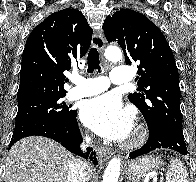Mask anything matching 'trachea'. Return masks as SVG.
<instances>
[{"instance_id": "1", "label": "trachea", "mask_w": 196, "mask_h": 182, "mask_svg": "<svg viewBox=\"0 0 196 182\" xmlns=\"http://www.w3.org/2000/svg\"><path fill=\"white\" fill-rule=\"evenodd\" d=\"M88 73H92L94 70H101L100 67V60H99V53L96 48H91L88 53Z\"/></svg>"}]
</instances>
